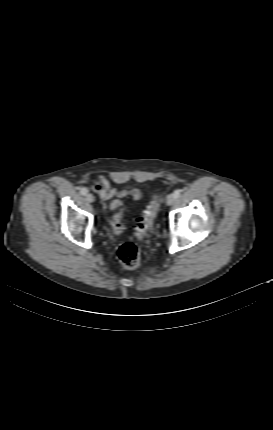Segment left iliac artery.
<instances>
[{
  "label": "left iliac artery",
  "mask_w": 273,
  "mask_h": 430,
  "mask_svg": "<svg viewBox=\"0 0 273 430\" xmlns=\"http://www.w3.org/2000/svg\"><path fill=\"white\" fill-rule=\"evenodd\" d=\"M182 193V189H176L173 193V195L175 196V198H178Z\"/></svg>",
  "instance_id": "left-iliac-artery-1"
}]
</instances>
